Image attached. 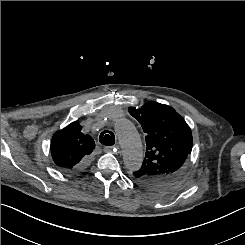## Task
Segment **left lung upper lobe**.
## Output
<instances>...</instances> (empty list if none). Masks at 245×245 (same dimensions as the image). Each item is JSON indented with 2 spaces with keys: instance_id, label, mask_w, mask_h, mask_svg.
<instances>
[{
  "instance_id": "1",
  "label": "left lung upper lobe",
  "mask_w": 245,
  "mask_h": 245,
  "mask_svg": "<svg viewBox=\"0 0 245 245\" xmlns=\"http://www.w3.org/2000/svg\"><path fill=\"white\" fill-rule=\"evenodd\" d=\"M129 113L146 133L147 151L133 180L146 188L171 182L182 170L192 151V132L185 120L170 106L147 102L141 108L130 107Z\"/></svg>"
}]
</instances>
